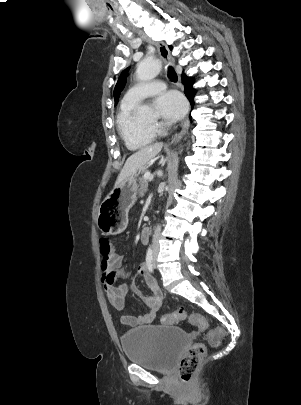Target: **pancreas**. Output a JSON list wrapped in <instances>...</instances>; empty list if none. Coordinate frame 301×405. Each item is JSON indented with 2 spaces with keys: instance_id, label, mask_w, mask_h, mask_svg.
<instances>
[{
  "instance_id": "1",
  "label": "pancreas",
  "mask_w": 301,
  "mask_h": 405,
  "mask_svg": "<svg viewBox=\"0 0 301 405\" xmlns=\"http://www.w3.org/2000/svg\"><path fill=\"white\" fill-rule=\"evenodd\" d=\"M148 188V179H146L145 177L141 178L140 180V190H139V195L141 197L144 196V193L147 191Z\"/></svg>"
}]
</instances>
